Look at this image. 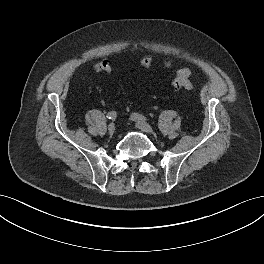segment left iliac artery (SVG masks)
<instances>
[{
    "mask_svg": "<svg viewBox=\"0 0 264 264\" xmlns=\"http://www.w3.org/2000/svg\"><path fill=\"white\" fill-rule=\"evenodd\" d=\"M131 117L133 120H137V121H147L148 120L144 115L139 114V113H132Z\"/></svg>",
    "mask_w": 264,
    "mask_h": 264,
    "instance_id": "44dca946",
    "label": "left iliac artery"
}]
</instances>
